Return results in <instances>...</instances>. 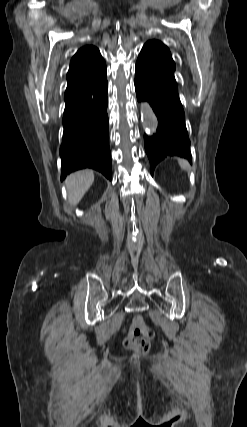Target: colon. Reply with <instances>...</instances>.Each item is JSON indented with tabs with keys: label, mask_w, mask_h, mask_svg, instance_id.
<instances>
[{
	"label": "colon",
	"mask_w": 247,
	"mask_h": 427,
	"mask_svg": "<svg viewBox=\"0 0 247 427\" xmlns=\"http://www.w3.org/2000/svg\"><path fill=\"white\" fill-rule=\"evenodd\" d=\"M140 335H143L144 338H140ZM154 338L155 332L145 324L142 317L137 316L133 319L130 332L124 339L123 345L128 349L146 354L150 349V341Z\"/></svg>",
	"instance_id": "colon-1"
}]
</instances>
